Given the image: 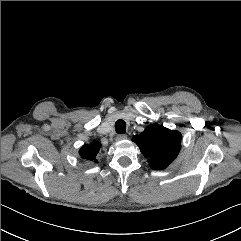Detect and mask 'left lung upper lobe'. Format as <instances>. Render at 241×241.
Segmentation results:
<instances>
[{"label": "left lung upper lobe", "mask_w": 241, "mask_h": 241, "mask_svg": "<svg viewBox=\"0 0 241 241\" xmlns=\"http://www.w3.org/2000/svg\"><path fill=\"white\" fill-rule=\"evenodd\" d=\"M181 137L178 131L154 125L147 127L140 135L133 136L132 141L139 146L152 169L162 170L177 157Z\"/></svg>", "instance_id": "1"}]
</instances>
